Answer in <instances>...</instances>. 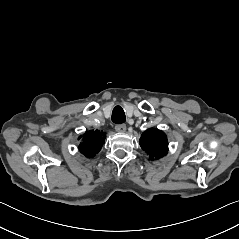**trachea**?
Wrapping results in <instances>:
<instances>
[{"instance_id": "trachea-1", "label": "trachea", "mask_w": 239, "mask_h": 239, "mask_svg": "<svg viewBox=\"0 0 239 239\" xmlns=\"http://www.w3.org/2000/svg\"><path fill=\"white\" fill-rule=\"evenodd\" d=\"M112 121L115 124H124L126 121V116L124 110L120 106H116L112 111Z\"/></svg>"}]
</instances>
